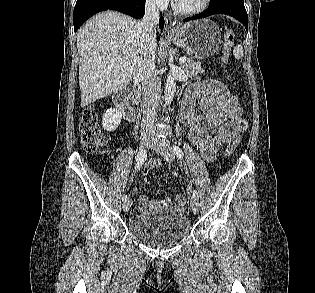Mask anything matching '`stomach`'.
I'll list each match as a JSON object with an SVG mask.
<instances>
[{
  "label": "stomach",
  "instance_id": "obj_1",
  "mask_svg": "<svg viewBox=\"0 0 315 293\" xmlns=\"http://www.w3.org/2000/svg\"><path fill=\"white\" fill-rule=\"evenodd\" d=\"M168 38L196 59H207L218 50L221 32L209 19L192 21L178 26Z\"/></svg>",
  "mask_w": 315,
  "mask_h": 293
}]
</instances>
